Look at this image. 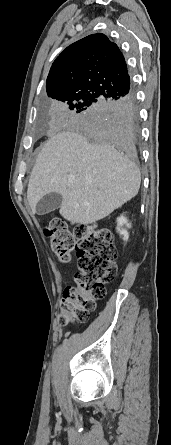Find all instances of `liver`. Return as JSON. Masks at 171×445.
Returning <instances> with one entry per match:
<instances>
[{"instance_id": "1", "label": "liver", "mask_w": 171, "mask_h": 445, "mask_svg": "<svg viewBox=\"0 0 171 445\" xmlns=\"http://www.w3.org/2000/svg\"><path fill=\"white\" fill-rule=\"evenodd\" d=\"M140 183V170L128 157L108 143H91L68 129L44 144L29 179L27 199L35 213L42 197L59 193L63 218L91 224L135 197Z\"/></svg>"}]
</instances>
